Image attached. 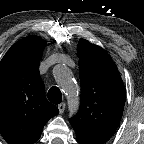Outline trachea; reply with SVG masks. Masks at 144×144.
I'll return each mask as SVG.
<instances>
[{
    "label": "trachea",
    "instance_id": "trachea-1",
    "mask_svg": "<svg viewBox=\"0 0 144 144\" xmlns=\"http://www.w3.org/2000/svg\"><path fill=\"white\" fill-rule=\"evenodd\" d=\"M47 96L53 104H59L62 101L61 91L57 87H51L47 93Z\"/></svg>",
    "mask_w": 144,
    "mask_h": 144
}]
</instances>
